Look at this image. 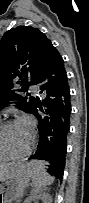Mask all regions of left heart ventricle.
Here are the masks:
<instances>
[{
	"instance_id": "b2bd125f",
	"label": "left heart ventricle",
	"mask_w": 89,
	"mask_h": 203,
	"mask_svg": "<svg viewBox=\"0 0 89 203\" xmlns=\"http://www.w3.org/2000/svg\"><path fill=\"white\" fill-rule=\"evenodd\" d=\"M29 142V135L18 125H11L7 129V144L10 151L14 152L22 149Z\"/></svg>"
}]
</instances>
